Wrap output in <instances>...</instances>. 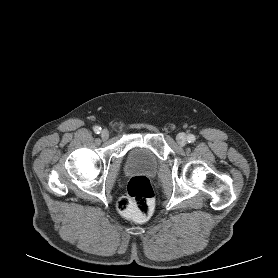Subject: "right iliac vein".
<instances>
[{
	"instance_id": "1",
	"label": "right iliac vein",
	"mask_w": 278,
	"mask_h": 278,
	"mask_svg": "<svg viewBox=\"0 0 278 278\" xmlns=\"http://www.w3.org/2000/svg\"><path fill=\"white\" fill-rule=\"evenodd\" d=\"M100 135L103 140H107L109 138V132L106 129L102 130Z\"/></svg>"
}]
</instances>
